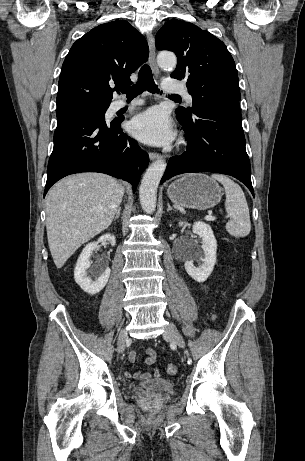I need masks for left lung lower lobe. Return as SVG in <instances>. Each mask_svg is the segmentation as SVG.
I'll return each instance as SVG.
<instances>
[{
    "mask_svg": "<svg viewBox=\"0 0 305 461\" xmlns=\"http://www.w3.org/2000/svg\"><path fill=\"white\" fill-rule=\"evenodd\" d=\"M177 119L185 130L187 151L169 159L160 183L181 173L217 172L237 178L254 196L239 100L214 101L191 117Z\"/></svg>",
    "mask_w": 305,
    "mask_h": 461,
    "instance_id": "1",
    "label": "left lung lower lobe"
}]
</instances>
